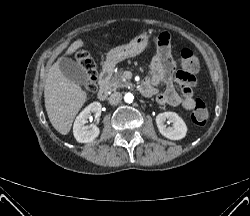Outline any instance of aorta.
I'll list each match as a JSON object with an SVG mask.
<instances>
[{
	"label": "aorta",
	"mask_w": 250,
	"mask_h": 216,
	"mask_svg": "<svg viewBox=\"0 0 250 216\" xmlns=\"http://www.w3.org/2000/svg\"><path fill=\"white\" fill-rule=\"evenodd\" d=\"M133 99H134V96L131 93H127L124 96V100H125L126 103H132Z\"/></svg>",
	"instance_id": "obj_1"
}]
</instances>
